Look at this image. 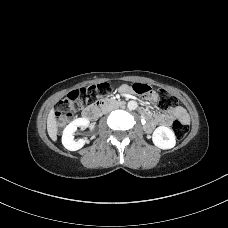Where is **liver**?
I'll return each mask as SVG.
<instances>
[{"instance_id": "liver-1", "label": "liver", "mask_w": 228, "mask_h": 228, "mask_svg": "<svg viewBox=\"0 0 228 228\" xmlns=\"http://www.w3.org/2000/svg\"><path fill=\"white\" fill-rule=\"evenodd\" d=\"M47 131L49 137L53 140H57V122L54 114V109H51L47 117Z\"/></svg>"}]
</instances>
